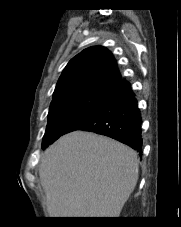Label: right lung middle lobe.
Instances as JSON below:
<instances>
[{"label":"right lung middle lobe","instance_id":"right-lung-middle-lobe-1","mask_svg":"<svg viewBox=\"0 0 181 227\" xmlns=\"http://www.w3.org/2000/svg\"><path fill=\"white\" fill-rule=\"evenodd\" d=\"M111 90H98L70 95L53 101L48 113V124L43 144L53 143L66 131L98 110Z\"/></svg>","mask_w":181,"mask_h":227}]
</instances>
